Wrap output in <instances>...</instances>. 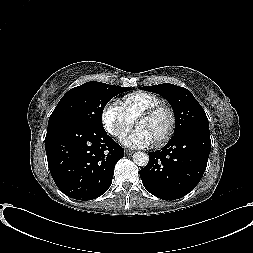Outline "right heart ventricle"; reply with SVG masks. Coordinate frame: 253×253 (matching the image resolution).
Masks as SVG:
<instances>
[{
  "mask_svg": "<svg viewBox=\"0 0 253 253\" xmlns=\"http://www.w3.org/2000/svg\"><path fill=\"white\" fill-rule=\"evenodd\" d=\"M161 103V99L149 92L135 91L125 95L121 104L128 116L134 120L140 112L151 106Z\"/></svg>",
  "mask_w": 253,
  "mask_h": 253,
  "instance_id": "e07e8e85",
  "label": "right heart ventricle"
}]
</instances>
